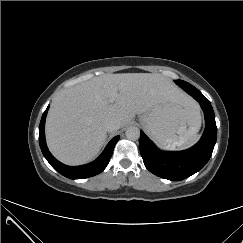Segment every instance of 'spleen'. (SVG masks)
<instances>
[{"label": "spleen", "mask_w": 243, "mask_h": 243, "mask_svg": "<svg viewBox=\"0 0 243 243\" xmlns=\"http://www.w3.org/2000/svg\"><path fill=\"white\" fill-rule=\"evenodd\" d=\"M199 139V135H193L189 140H187L186 142H175L172 146L173 149L175 148H179V149H185L188 148L190 146H192L193 144H195Z\"/></svg>", "instance_id": "3e777b00"}]
</instances>
